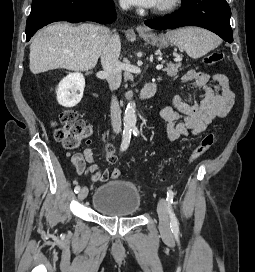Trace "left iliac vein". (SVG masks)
<instances>
[{
    "label": "left iliac vein",
    "instance_id": "left-iliac-vein-1",
    "mask_svg": "<svg viewBox=\"0 0 255 272\" xmlns=\"http://www.w3.org/2000/svg\"><path fill=\"white\" fill-rule=\"evenodd\" d=\"M158 217H159V230L167 238L172 237L169 216L167 210V202L164 198H161L158 202L157 207Z\"/></svg>",
    "mask_w": 255,
    "mask_h": 272
}]
</instances>
